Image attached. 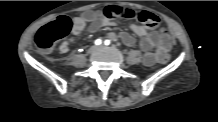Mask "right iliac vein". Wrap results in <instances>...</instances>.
I'll list each match as a JSON object with an SVG mask.
<instances>
[{
	"label": "right iliac vein",
	"instance_id": "63e3f726",
	"mask_svg": "<svg viewBox=\"0 0 218 122\" xmlns=\"http://www.w3.org/2000/svg\"><path fill=\"white\" fill-rule=\"evenodd\" d=\"M96 50H97V48H96L95 46H91V47L88 49V53H89V54H93V53L96 52Z\"/></svg>",
	"mask_w": 218,
	"mask_h": 122
}]
</instances>
